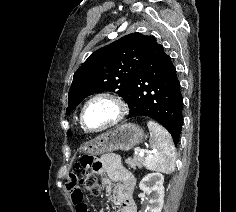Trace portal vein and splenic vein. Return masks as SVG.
I'll return each instance as SVG.
<instances>
[{"label": "portal vein and splenic vein", "mask_w": 236, "mask_h": 212, "mask_svg": "<svg viewBox=\"0 0 236 212\" xmlns=\"http://www.w3.org/2000/svg\"><path fill=\"white\" fill-rule=\"evenodd\" d=\"M135 154H138L139 156H143L144 155V150L140 149V148H136L135 149Z\"/></svg>", "instance_id": "portal-vein-and-splenic-vein-1"}]
</instances>
